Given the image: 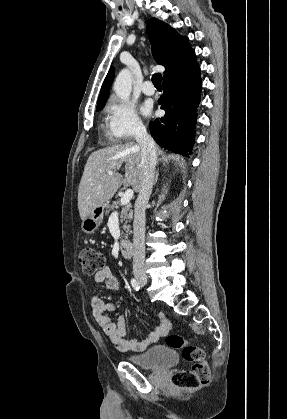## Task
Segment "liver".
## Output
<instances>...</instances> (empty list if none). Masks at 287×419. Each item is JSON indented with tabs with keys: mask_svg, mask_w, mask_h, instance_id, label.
<instances>
[{
	"mask_svg": "<svg viewBox=\"0 0 287 419\" xmlns=\"http://www.w3.org/2000/svg\"><path fill=\"white\" fill-rule=\"evenodd\" d=\"M125 163L124 178L117 170ZM113 174L109 175L108 172ZM141 148L134 142L112 145L90 154L78 189V210L83 221L95 208L106 206L120 186L141 188Z\"/></svg>",
	"mask_w": 287,
	"mask_h": 419,
	"instance_id": "obj_1",
	"label": "liver"
}]
</instances>
